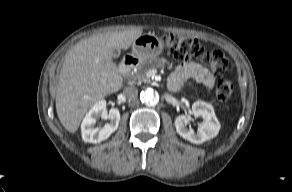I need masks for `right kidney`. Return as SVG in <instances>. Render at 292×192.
I'll return each mask as SVG.
<instances>
[{
    "mask_svg": "<svg viewBox=\"0 0 292 192\" xmlns=\"http://www.w3.org/2000/svg\"><path fill=\"white\" fill-rule=\"evenodd\" d=\"M99 118L109 119L110 123L104 125L102 129L95 127ZM120 121V112L112 108L107 113L106 102L101 100L93 105L84 117L81 124L82 138L85 142L100 143L106 140L117 130Z\"/></svg>",
    "mask_w": 292,
    "mask_h": 192,
    "instance_id": "right-kidney-1",
    "label": "right kidney"
}]
</instances>
